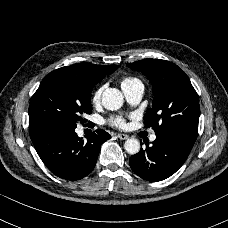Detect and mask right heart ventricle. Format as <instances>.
<instances>
[{"label":"right heart ventricle","instance_id":"obj_1","mask_svg":"<svg viewBox=\"0 0 228 228\" xmlns=\"http://www.w3.org/2000/svg\"><path fill=\"white\" fill-rule=\"evenodd\" d=\"M139 79L136 78V77H133V76H125V77H122L121 80H120V83H121V87H124L126 85H130L136 81H138Z\"/></svg>","mask_w":228,"mask_h":228}]
</instances>
